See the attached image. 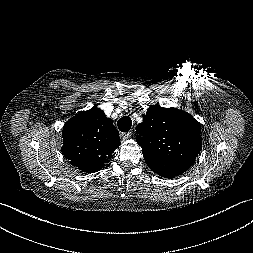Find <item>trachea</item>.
<instances>
[{"mask_svg":"<svg viewBox=\"0 0 253 253\" xmlns=\"http://www.w3.org/2000/svg\"><path fill=\"white\" fill-rule=\"evenodd\" d=\"M132 120L129 116H123L118 120V128L121 132H128L131 129Z\"/></svg>","mask_w":253,"mask_h":253,"instance_id":"1","label":"trachea"}]
</instances>
